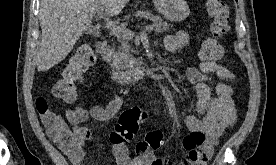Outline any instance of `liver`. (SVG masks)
<instances>
[{"label":"liver","mask_w":276,"mask_h":165,"mask_svg":"<svg viewBox=\"0 0 276 165\" xmlns=\"http://www.w3.org/2000/svg\"><path fill=\"white\" fill-rule=\"evenodd\" d=\"M128 2L41 0L39 21L42 36L35 57L38 71H47L66 58L99 9H103L106 16H116Z\"/></svg>","instance_id":"liver-1"}]
</instances>
